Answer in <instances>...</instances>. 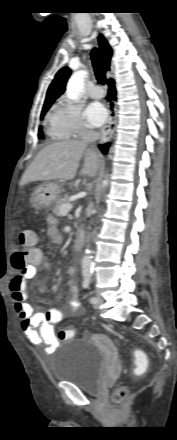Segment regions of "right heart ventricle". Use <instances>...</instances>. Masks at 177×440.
I'll return each mask as SVG.
<instances>
[{"mask_svg": "<svg viewBox=\"0 0 177 440\" xmlns=\"http://www.w3.org/2000/svg\"><path fill=\"white\" fill-rule=\"evenodd\" d=\"M47 133L53 139H64L65 137L59 131L54 114H50L47 117Z\"/></svg>", "mask_w": 177, "mask_h": 440, "instance_id": "1", "label": "right heart ventricle"}]
</instances>
